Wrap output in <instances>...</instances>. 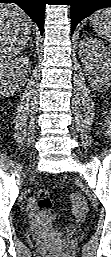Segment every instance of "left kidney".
<instances>
[{
  "label": "left kidney",
  "mask_w": 111,
  "mask_h": 257,
  "mask_svg": "<svg viewBox=\"0 0 111 257\" xmlns=\"http://www.w3.org/2000/svg\"><path fill=\"white\" fill-rule=\"evenodd\" d=\"M80 57L84 70L95 87H109L111 51L98 39L85 37L80 41Z\"/></svg>",
  "instance_id": "1"
}]
</instances>
